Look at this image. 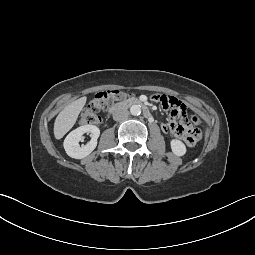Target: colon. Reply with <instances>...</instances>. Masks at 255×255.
<instances>
[{
	"label": "colon",
	"instance_id": "1",
	"mask_svg": "<svg viewBox=\"0 0 255 255\" xmlns=\"http://www.w3.org/2000/svg\"><path fill=\"white\" fill-rule=\"evenodd\" d=\"M126 97V94L118 89H111L104 92H99L95 95L94 99L89 103V105L83 110L80 116V123L83 125H92L100 122V117L98 113L105 110L110 103L121 101ZM170 97L166 95H154L153 98L158 100L160 103L163 98ZM172 98V97H170ZM173 99V98H172ZM174 105L177 106V101L173 99ZM186 111V110H185ZM186 115L190 118L193 124L198 122L196 116H189L186 112ZM199 140L202 137V132L198 128Z\"/></svg>",
	"mask_w": 255,
	"mask_h": 255
}]
</instances>
